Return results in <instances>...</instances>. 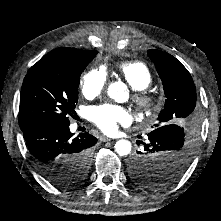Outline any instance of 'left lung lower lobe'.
<instances>
[{"mask_svg": "<svg viewBox=\"0 0 221 221\" xmlns=\"http://www.w3.org/2000/svg\"><path fill=\"white\" fill-rule=\"evenodd\" d=\"M174 133H176V132H174ZM175 136H178V135H175ZM138 153H139V151H137V154H135L129 161L130 174H131V172L142 173V171L145 170V167L147 166V164L144 163V161L141 159V156ZM155 177H160V176L157 175ZM153 180H155V179H153Z\"/></svg>", "mask_w": 221, "mask_h": 221, "instance_id": "0a47b994", "label": "left lung lower lobe"}]
</instances>
